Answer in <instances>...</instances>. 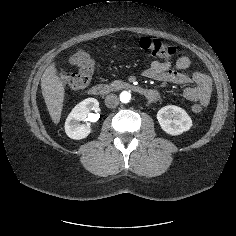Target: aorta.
Wrapping results in <instances>:
<instances>
[{
	"mask_svg": "<svg viewBox=\"0 0 236 236\" xmlns=\"http://www.w3.org/2000/svg\"><path fill=\"white\" fill-rule=\"evenodd\" d=\"M131 100V94L128 91H123L120 94V101L122 103H128Z\"/></svg>",
	"mask_w": 236,
	"mask_h": 236,
	"instance_id": "obj_1",
	"label": "aorta"
}]
</instances>
